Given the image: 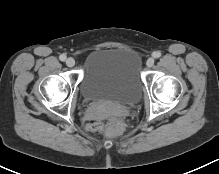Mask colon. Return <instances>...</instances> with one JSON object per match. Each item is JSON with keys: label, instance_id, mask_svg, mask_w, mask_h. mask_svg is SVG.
<instances>
[{"label": "colon", "instance_id": "obj_1", "mask_svg": "<svg viewBox=\"0 0 219 174\" xmlns=\"http://www.w3.org/2000/svg\"><path fill=\"white\" fill-rule=\"evenodd\" d=\"M88 129L91 131H105L107 135H117L123 129L122 121L117 118L113 117L108 122L107 126H104L101 122H91L88 124Z\"/></svg>", "mask_w": 219, "mask_h": 174}]
</instances>
